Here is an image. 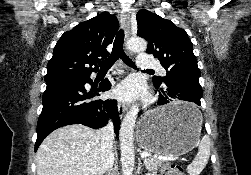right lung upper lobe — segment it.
I'll return each mask as SVG.
<instances>
[{
	"label": "right lung upper lobe",
	"mask_w": 251,
	"mask_h": 175,
	"mask_svg": "<svg viewBox=\"0 0 251 175\" xmlns=\"http://www.w3.org/2000/svg\"><path fill=\"white\" fill-rule=\"evenodd\" d=\"M118 28L116 16L103 12L65 32L54 47L45 81L90 76L97 68L92 66L109 55L106 47Z\"/></svg>",
	"instance_id": "right-lung-upper-lobe-1"
}]
</instances>
